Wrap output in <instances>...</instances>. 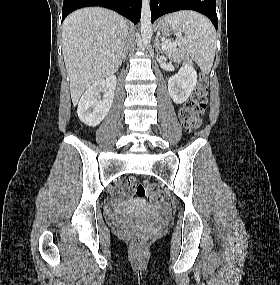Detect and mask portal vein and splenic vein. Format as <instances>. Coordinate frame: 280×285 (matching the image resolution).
Instances as JSON below:
<instances>
[{
  "mask_svg": "<svg viewBox=\"0 0 280 285\" xmlns=\"http://www.w3.org/2000/svg\"><path fill=\"white\" fill-rule=\"evenodd\" d=\"M176 46H177L176 42H169V43L164 44L162 49L163 50H167V49H170V48H174Z\"/></svg>",
  "mask_w": 280,
  "mask_h": 285,
  "instance_id": "1",
  "label": "portal vein and splenic vein"
}]
</instances>
